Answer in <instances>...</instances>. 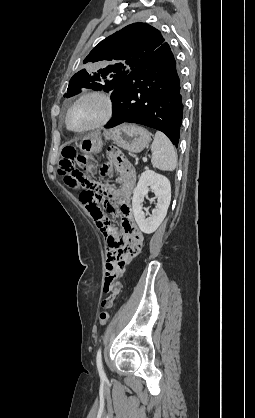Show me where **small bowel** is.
<instances>
[{
    "label": "small bowel",
    "mask_w": 255,
    "mask_h": 418,
    "mask_svg": "<svg viewBox=\"0 0 255 418\" xmlns=\"http://www.w3.org/2000/svg\"><path fill=\"white\" fill-rule=\"evenodd\" d=\"M106 157L108 163H111V166L120 175V187L118 189L107 188L106 192L111 199L119 204L118 214L124 226L127 222L133 221L130 198L136 184V173L125 160L122 147H107ZM101 221L105 223L104 227H101L99 222H95L108 239L104 242L107 269L101 306L103 309L109 310L113 308L114 301L120 299L121 283L119 280H124L128 265L141 254L143 231L141 228L112 227L107 219Z\"/></svg>",
    "instance_id": "c3829d8e"
}]
</instances>
